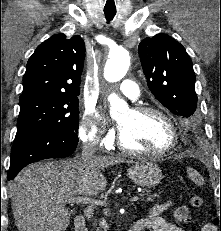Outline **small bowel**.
<instances>
[{
    "label": "small bowel",
    "instance_id": "obj_1",
    "mask_svg": "<svg viewBox=\"0 0 221 231\" xmlns=\"http://www.w3.org/2000/svg\"><path fill=\"white\" fill-rule=\"evenodd\" d=\"M172 207L173 203L171 201L156 204L150 209L146 218L138 220L135 224L141 228V231H185L175 222L160 216L161 213ZM175 219L177 222L193 226L197 231H216L213 224L197 223L186 206H180L175 209Z\"/></svg>",
    "mask_w": 221,
    "mask_h": 231
}]
</instances>
